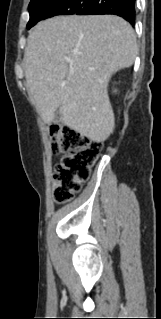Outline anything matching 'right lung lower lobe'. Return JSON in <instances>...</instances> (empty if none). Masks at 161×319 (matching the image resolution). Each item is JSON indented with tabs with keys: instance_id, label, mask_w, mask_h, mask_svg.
Returning <instances> with one entry per match:
<instances>
[{
	"instance_id": "right-lung-lower-lobe-1",
	"label": "right lung lower lobe",
	"mask_w": 161,
	"mask_h": 319,
	"mask_svg": "<svg viewBox=\"0 0 161 319\" xmlns=\"http://www.w3.org/2000/svg\"><path fill=\"white\" fill-rule=\"evenodd\" d=\"M113 14L135 23V0H89L76 15Z\"/></svg>"
}]
</instances>
